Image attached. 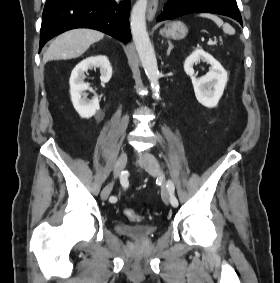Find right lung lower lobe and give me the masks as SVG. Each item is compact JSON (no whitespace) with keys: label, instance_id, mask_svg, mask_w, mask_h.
Listing matches in <instances>:
<instances>
[{"label":"right lung lower lobe","instance_id":"98d812e1","mask_svg":"<svg viewBox=\"0 0 280 283\" xmlns=\"http://www.w3.org/2000/svg\"><path fill=\"white\" fill-rule=\"evenodd\" d=\"M130 1L47 0L42 14L39 51L54 36L75 28L105 32L121 42L131 39Z\"/></svg>","mask_w":280,"mask_h":283}]
</instances>
